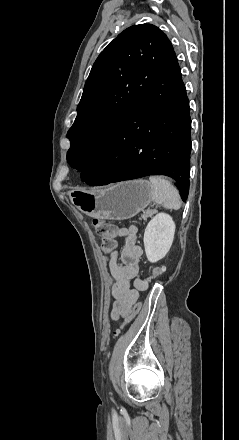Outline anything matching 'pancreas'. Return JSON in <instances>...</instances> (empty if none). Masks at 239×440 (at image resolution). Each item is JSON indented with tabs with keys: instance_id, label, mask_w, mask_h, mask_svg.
I'll return each instance as SVG.
<instances>
[{
	"instance_id": "pancreas-1",
	"label": "pancreas",
	"mask_w": 239,
	"mask_h": 440,
	"mask_svg": "<svg viewBox=\"0 0 239 440\" xmlns=\"http://www.w3.org/2000/svg\"><path fill=\"white\" fill-rule=\"evenodd\" d=\"M153 214H156L155 210H145V212L141 214V218H139V220H145L146 222L147 218H151Z\"/></svg>"
}]
</instances>
